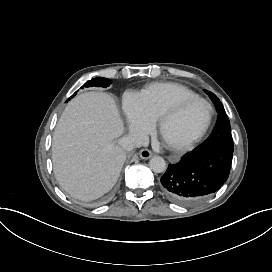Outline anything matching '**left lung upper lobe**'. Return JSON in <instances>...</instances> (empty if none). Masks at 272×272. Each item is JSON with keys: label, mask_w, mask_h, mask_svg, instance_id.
I'll list each match as a JSON object with an SVG mask.
<instances>
[{"label": "left lung upper lobe", "mask_w": 272, "mask_h": 272, "mask_svg": "<svg viewBox=\"0 0 272 272\" xmlns=\"http://www.w3.org/2000/svg\"><path fill=\"white\" fill-rule=\"evenodd\" d=\"M213 101L217 112L218 121L211 137L199 149H225L233 151V140L230 131V122L220 100L212 92L206 91Z\"/></svg>", "instance_id": "left-lung-upper-lobe-1"}]
</instances>
